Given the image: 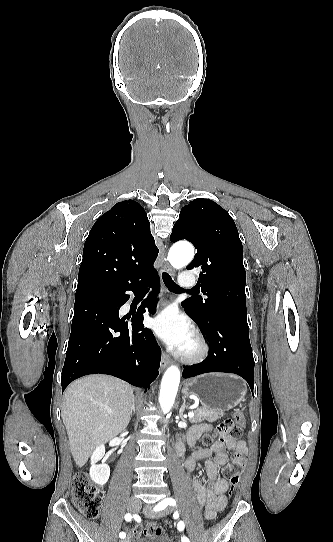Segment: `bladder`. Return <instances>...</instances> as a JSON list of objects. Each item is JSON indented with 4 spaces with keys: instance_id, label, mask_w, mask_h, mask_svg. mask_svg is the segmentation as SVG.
Listing matches in <instances>:
<instances>
[{
    "instance_id": "1",
    "label": "bladder",
    "mask_w": 333,
    "mask_h": 542,
    "mask_svg": "<svg viewBox=\"0 0 333 542\" xmlns=\"http://www.w3.org/2000/svg\"><path fill=\"white\" fill-rule=\"evenodd\" d=\"M137 542H175L171 537L162 534H148L142 536Z\"/></svg>"
}]
</instances>
